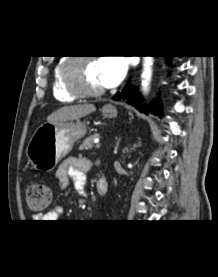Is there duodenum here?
Masks as SVG:
<instances>
[{
  "mask_svg": "<svg viewBox=\"0 0 218 277\" xmlns=\"http://www.w3.org/2000/svg\"><path fill=\"white\" fill-rule=\"evenodd\" d=\"M96 189L100 195L107 194V192L109 190L108 181L105 178L98 179L96 182Z\"/></svg>",
  "mask_w": 218,
  "mask_h": 277,
  "instance_id": "1",
  "label": "duodenum"
}]
</instances>
